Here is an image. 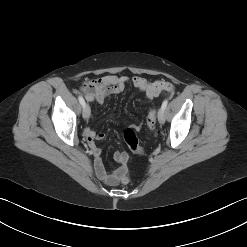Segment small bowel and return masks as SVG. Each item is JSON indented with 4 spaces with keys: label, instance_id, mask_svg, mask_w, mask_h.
<instances>
[{
    "label": "small bowel",
    "instance_id": "c3829d8e",
    "mask_svg": "<svg viewBox=\"0 0 247 247\" xmlns=\"http://www.w3.org/2000/svg\"><path fill=\"white\" fill-rule=\"evenodd\" d=\"M128 83H131L135 88L143 92L150 100L162 93H169L173 90L172 84L167 81L149 82L140 76L129 78L127 76L108 74L84 82L81 91L87 101L101 104L110 95L122 92ZM84 134L88 139L94 156V169L97 176L108 185L118 184L120 176L127 172V164L130 159L129 155L124 152H115L114 160L122 166L117 170L107 171L101 159V149L95 144V140H104L105 134L101 132L96 133L89 127L84 129Z\"/></svg>",
    "mask_w": 247,
    "mask_h": 247
}]
</instances>
